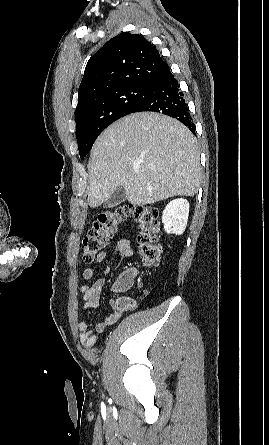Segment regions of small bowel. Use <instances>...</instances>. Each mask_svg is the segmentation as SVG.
<instances>
[{"label":"small bowel","instance_id":"1","mask_svg":"<svg viewBox=\"0 0 269 445\" xmlns=\"http://www.w3.org/2000/svg\"><path fill=\"white\" fill-rule=\"evenodd\" d=\"M115 250L124 258H132L134 255L132 245L127 239L118 240L115 243ZM96 259L97 262L105 261L106 252H101ZM108 273V267L104 268L100 275H96L93 267H88L83 270L82 276L88 281V283L81 285L79 288L82 295V309L84 313H87L92 308L98 307ZM135 273L134 269H128L117 281L127 276L133 281ZM109 306L110 313L95 325H92L88 321H80L78 323L80 341L86 348H92L97 342V335L103 333L109 326L115 324L125 312L136 309L137 300L131 297H119L110 299Z\"/></svg>","mask_w":269,"mask_h":445}]
</instances>
